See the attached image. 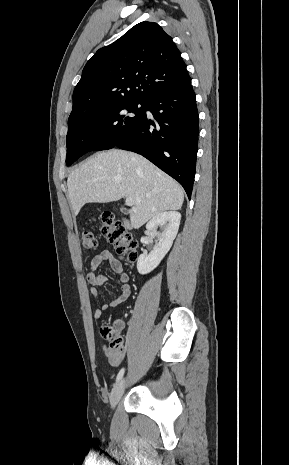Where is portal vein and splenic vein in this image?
I'll return each mask as SVG.
<instances>
[{
	"mask_svg": "<svg viewBox=\"0 0 289 465\" xmlns=\"http://www.w3.org/2000/svg\"><path fill=\"white\" fill-rule=\"evenodd\" d=\"M125 204H126L127 206H133V205H134V200H133V198H131V197L126 198Z\"/></svg>",
	"mask_w": 289,
	"mask_h": 465,
	"instance_id": "1",
	"label": "portal vein and splenic vein"
}]
</instances>
